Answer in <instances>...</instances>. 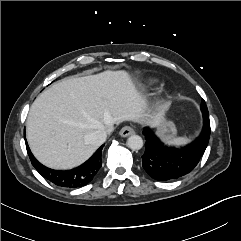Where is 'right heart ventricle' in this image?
Returning <instances> with one entry per match:
<instances>
[{"instance_id":"right-heart-ventricle-1","label":"right heart ventricle","mask_w":241,"mask_h":241,"mask_svg":"<svg viewBox=\"0 0 241 241\" xmlns=\"http://www.w3.org/2000/svg\"><path fill=\"white\" fill-rule=\"evenodd\" d=\"M155 81L152 79H145L142 83L143 87H150L152 85H154Z\"/></svg>"}]
</instances>
